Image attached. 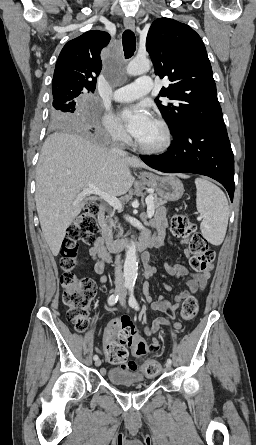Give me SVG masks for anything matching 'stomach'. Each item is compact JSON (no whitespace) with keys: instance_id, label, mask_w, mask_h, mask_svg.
Instances as JSON below:
<instances>
[{"instance_id":"1","label":"stomach","mask_w":256,"mask_h":445,"mask_svg":"<svg viewBox=\"0 0 256 445\" xmlns=\"http://www.w3.org/2000/svg\"><path fill=\"white\" fill-rule=\"evenodd\" d=\"M143 181L165 201H177L184 194V186L182 182L174 175L156 176L150 174L149 176H144Z\"/></svg>"}]
</instances>
